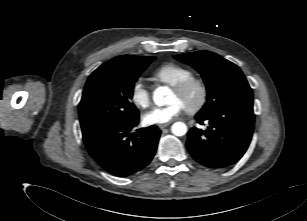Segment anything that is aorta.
<instances>
[{
    "label": "aorta",
    "instance_id": "obj_1",
    "mask_svg": "<svg viewBox=\"0 0 307 221\" xmlns=\"http://www.w3.org/2000/svg\"><path fill=\"white\" fill-rule=\"evenodd\" d=\"M170 90L166 86H161L155 89L153 92L154 103L161 107L167 104L166 96L169 94ZM172 133L176 136H183L187 132V126L183 122H176L172 125Z\"/></svg>",
    "mask_w": 307,
    "mask_h": 221
}]
</instances>
